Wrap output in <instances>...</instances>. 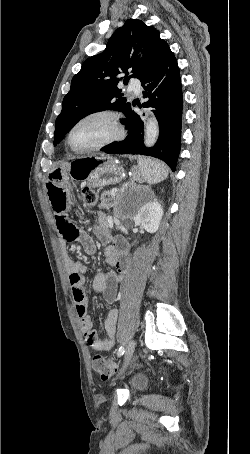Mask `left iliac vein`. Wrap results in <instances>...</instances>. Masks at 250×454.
<instances>
[{
    "instance_id": "4c4485c4",
    "label": "left iliac vein",
    "mask_w": 250,
    "mask_h": 454,
    "mask_svg": "<svg viewBox=\"0 0 250 454\" xmlns=\"http://www.w3.org/2000/svg\"><path fill=\"white\" fill-rule=\"evenodd\" d=\"M135 341L134 340H131L128 345H127V348H126V352H125V356H124V364H123V367H122V370L120 372V374H122L125 369L127 368L128 364L130 363L131 361V358L133 356V353H134V350H135Z\"/></svg>"
}]
</instances>
